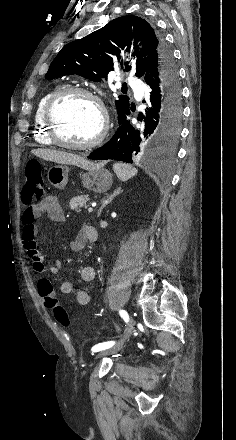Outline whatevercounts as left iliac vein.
I'll return each instance as SVG.
<instances>
[{"label": "left iliac vein", "instance_id": "1", "mask_svg": "<svg viewBox=\"0 0 236 440\" xmlns=\"http://www.w3.org/2000/svg\"><path fill=\"white\" fill-rule=\"evenodd\" d=\"M134 324H135V322H134L133 318H132V317H129L125 339H124L123 341H121L120 343H118L117 345L111 347L110 349H107V350L101 351L99 354H97V357H103V356H105V355L115 353V352L119 351L120 349H122V347H123V345H124V342H125V341L130 337V335L133 333Z\"/></svg>", "mask_w": 236, "mask_h": 440}]
</instances>
